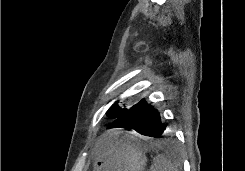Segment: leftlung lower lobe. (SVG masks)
I'll return each mask as SVG.
<instances>
[{
	"label": "left lung lower lobe",
	"instance_id": "1",
	"mask_svg": "<svg viewBox=\"0 0 245 171\" xmlns=\"http://www.w3.org/2000/svg\"><path fill=\"white\" fill-rule=\"evenodd\" d=\"M111 128H126L154 138H161L166 125L160 113L145 99L131 106L118 121L110 125Z\"/></svg>",
	"mask_w": 245,
	"mask_h": 171
}]
</instances>
